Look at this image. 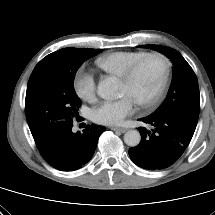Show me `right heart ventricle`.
<instances>
[{"mask_svg":"<svg viewBox=\"0 0 215 215\" xmlns=\"http://www.w3.org/2000/svg\"><path fill=\"white\" fill-rule=\"evenodd\" d=\"M145 53L144 51H117L98 58L96 63L105 72L121 77L127 68Z\"/></svg>","mask_w":215,"mask_h":215,"instance_id":"obj_1","label":"right heart ventricle"}]
</instances>
